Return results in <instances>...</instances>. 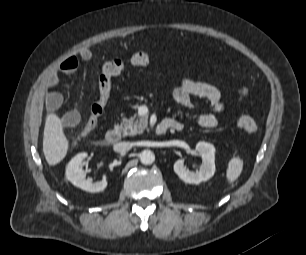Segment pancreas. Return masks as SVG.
Segmentation results:
<instances>
[{
	"mask_svg": "<svg viewBox=\"0 0 306 255\" xmlns=\"http://www.w3.org/2000/svg\"><path fill=\"white\" fill-rule=\"evenodd\" d=\"M148 118L144 117H131L129 119L123 118L119 129L122 131L123 136H133L141 134L147 128Z\"/></svg>",
	"mask_w": 306,
	"mask_h": 255,
	"instance_id": "obj_1",
	"label": "pancreas"
}]
</instances>
